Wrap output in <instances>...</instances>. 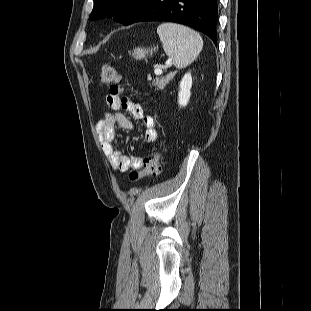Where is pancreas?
<instances>
[{
	"label": "pancreas",
	"instance_id": "obj_1",
	"mask_svg": "<svg viewBox=\"0 0 311 311\" xmlns=\"http://www.w3.org/2000/svg\"><path fill=\"white\" fill-rule=\"evenodd\" d=\"M165 79H156L153 81V84L157 87V90H163L166 86Z\"/></svg>",
	"mask_w": 311,
	"mask_h": 311
}]
</instances>
